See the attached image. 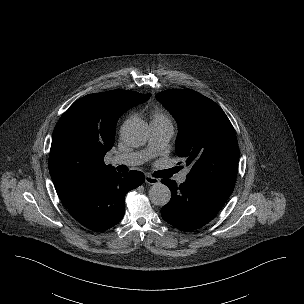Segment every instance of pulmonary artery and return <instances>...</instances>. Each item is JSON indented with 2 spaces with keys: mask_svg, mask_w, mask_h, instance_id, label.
<instances>
[{
  "mask_svg": "<svg viewBox=\"0 0 304 304\" xmlns=\"http://www.w3.org/2000/svg\"><path fill=\"white\" fill-rule=\"evenodd\" d=\"M151 136L146 149L137 152L123 153L112 159L114 165L137 166L143 164L151 157L159 154L167 145L173 135L171 124L151 123ZM187 179V172L178 176V182L184 183Z\"/></svg>",
  "mask_w": 304,
  "mask_h": 304,
  "instance_id": "1",
  "label": "pulmonary artery"
}]
</instances>
